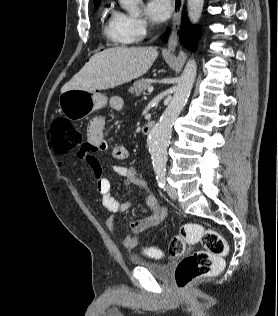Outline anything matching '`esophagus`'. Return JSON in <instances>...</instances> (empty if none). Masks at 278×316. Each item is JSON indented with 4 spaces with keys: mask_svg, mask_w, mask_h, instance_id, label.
Returning <instances> with one entry per match:
<instances>
[{
    "mask_svg": "<svg viewBox=\"0 0 278 316\" xmlns=\"http://www.w3.org/2000/svg\"><path fill=\"white\" fill-rule=\"evenodd\" d=\"M173 1V17L171 33L168 41L167 51L174 52L178 45V32L181 25L182 10L185 0H172Z\"/></svg>",
    "mask_w": 278,
    "mask_h": 316,
    "instance_id": "esophagus-1",
    "label": "esophagus"
}]
</instances>
